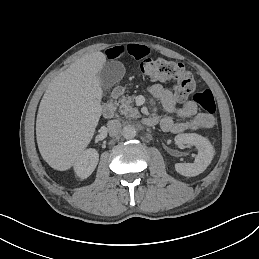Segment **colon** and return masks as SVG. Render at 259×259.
<instances>
[{
  "label": "colon",
  "instance_id": "colon-1",
  "mask_svg": "<svg viewBox=\"0 0 259 259\" xmlns=\"http://www.w3.org/2000/svg\"><path fill=\"white\" fill-rule=\"evenodd\" d=\"M141 71L153 80L174 82L176 96L181 100L191 94L196 87L193 75L184 65L165 58L145 60L141 63ZM193 100L208 114H213L216 110L215 99L210 90L195 93Z\"/></svg>",
  "mask_w": 259,
  "mask_h": 259
}]
</instances>
